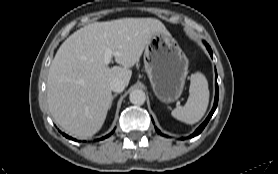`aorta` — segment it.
Returning <instances> with one entry per match:
<instances>
[{
  "instance_id": "1",
  "label": "aorta",
  "mask_w": 278,
  "mask_h": 174,
  "mask_svg": "<svg viewBox=\"0 0 278 174\" xmlns=\"http://www.w3.org/2000/svg\"><path fill=\"white\" fill-rule=\"evenodd\" d=\"M130 102L135 105H142L146 100V95L143 90L135 89L129 95Z\"/></svg>"
}]
</instances>
